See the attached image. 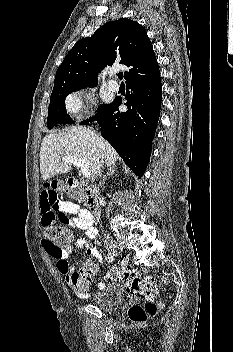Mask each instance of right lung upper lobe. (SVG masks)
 <instances>
[{"mask_svg": "<svg viewBox=\"0 0 233 352\" xmlns=\"http://www.w3.org/2000/svg\"><path fill=\"white\" fill-rule=\"evenodd\" d=\"M114 62L126 65V83L144 77L158 63L145 28L127 18L107 22L91 37L79 40L59 66L54 87L96 85L97 72Z\"/></svg>", "mask_w": 233, "mask_h": 352, "instance_id": "right-lung-upper-lobe-1", "label": "right lung upper lobe"}]
</instances>
